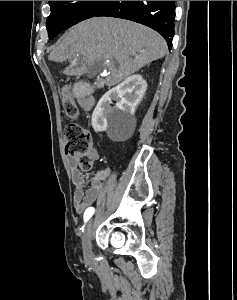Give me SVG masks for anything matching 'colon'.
<instances>
[{
	"mask_svg": "<svg viewBox=\"0 0 237 300\" xmlns=\"http://www.w3.org/2000/svg\"><path fill=\"white\" fill-rule=\"evenodd\" d=\"M62 105L65 114L69 118H76L78 109L69 87H63L61 91ZM65 152L76 158L79 168L89 172L93 168V159L89 155L92 148L90 132L77 123H70L64 130Z\"/></svg>",
	"mask_w": 237,
	"mask_h": 300,
	"instance_id": "1",
	"label": "colon"
}]
</instances>
